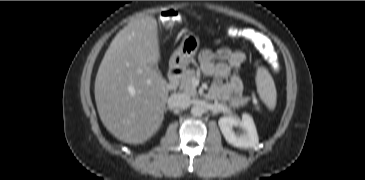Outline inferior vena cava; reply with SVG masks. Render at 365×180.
<instances>
[{
	"mask_svg": "<svg viewBox=\"0 0 365 180\" xmlns=\"http://www.w3.org/2000/svg\"><path fill=\"white\" fill-rule=\"evenodd\" d=\"M168 104L170 108L185 109L190 106V97L184 93L172 94L168 99Z\"/></svg>",
	"mask_w": 365,
	"mask_h": 180,
	"instance_id": "inferior-vena-cava-1",
	"label": "inferior vena cava"
}]
</instances>
